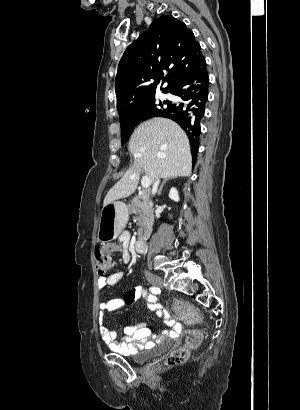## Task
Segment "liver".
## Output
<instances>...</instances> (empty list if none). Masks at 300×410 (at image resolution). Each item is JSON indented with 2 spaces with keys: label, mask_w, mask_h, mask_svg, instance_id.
Wrapping results in <instances>:
<instances>
[{
  "label": "liver",
  "mask_w": 300,
  "mask_h": 410,
  "mask_svg": "<svg viewBox=\"0 0 300 410\" xmlns=\"http://www.w3.org/2000/svg\"><path fill=\"white\" fill-rule=\"evenodd\" d=\"M128 149L134 157V166L109 190L104 206L133 194L141 172L151 183L160 177L191 175L189 139L172 120L157 117L141 123L131 135Z\"/></svg>",
  "instance_id": "6515ba94"
}]
</instances>
